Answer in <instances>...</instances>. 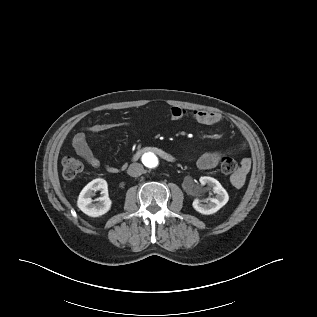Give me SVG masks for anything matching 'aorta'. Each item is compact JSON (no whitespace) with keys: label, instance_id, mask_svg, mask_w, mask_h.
<instances>
[{"label":"aorta","instance_id":"aorta-1","mask_svg":"<svg viewBox=\"0 0 317 317\" xmlns=\"http://www.w3.org/2000/svg\"><path fill=\"white\" fill-rule=\"evenodd\" d=\"M144 165L148 168H155L158 165V158L154 153H146L142 157Z\"/></svg>","mask_w":317,"mask_h":317}]
</instances>
